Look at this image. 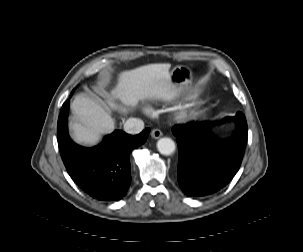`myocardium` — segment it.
<instances>
[{
  "label": "myocardium",
  "mask_w": 303,
  "mask_h": 252,
  "mask_svg": "<svg viewBox=\"0 0 303 252\" xmlns=\"http://www.w3.org/2000/svg\"><path fill=\"white\" fill-rule=\"evenodd\" d=\"M188 110L187 109H181L180 113H179V118L184 119L188 116Z\"/></svg>",
  "instance_id": "1"
}]
</instances>
